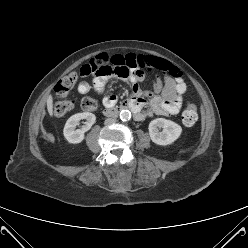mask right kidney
Listing matches in <instances>:
<instances>
[{"mask_svg":"<svg viewBox=\"0 0 248 248\" xmlns=\"http://www.w3.org/2000/svg\"><path fill=\"white\" fill-rule=\"evenodd\" d=\"M85 119V125L81 129H76V126L81 120ZM96 117L93 113L83 112L71 116L64 127L63 134L66 140L70 143L77 144L83 141L85 132L88 131L95 123Z\"/></svg>","mask_w":248,"mask_h":248,"instance_id":"ca27d5eb","label":"right kidney"}]
</instances>
